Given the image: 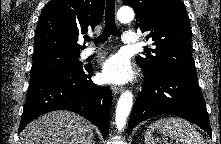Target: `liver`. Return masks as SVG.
<instances>
[{
  "label": "liver",
  "instance_id": "1",
  "mask_svg": "<svg viewBox=\"0 0 221 144\" xmlns=\"http://www.w3.org/2000/svg\"><path fill=\"white\" fill-rule=\"evenodd\" d=\"M93 126L82 116L69 111H54L40 116L21 132L19 144H92Z\"/></svg>",
  "mask_w": 221,
  "mask_h": 144
}]
</instances>
